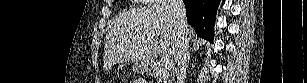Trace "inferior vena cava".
Masks as SVG:
<instances>
[{
	"label": "inferior vena cava",
	"mask_w": 307,
	"mask_h": 83,
	"mask_svg": "<svg viewBox=\"0 0 307 83\" xmlns=\"http://www.w3.org/2000/svg\"><path fill=\"white\" fill-rule=\"evenodd\" d=\"M171 8L173 9L178 21L179 45L176 54L177 68V83H184L186 78V67L189 58V37H188V22L186 20V9L183 0H171Z\"/></svg>",
	"instance_id": "obj_1"
}]
</instances>
